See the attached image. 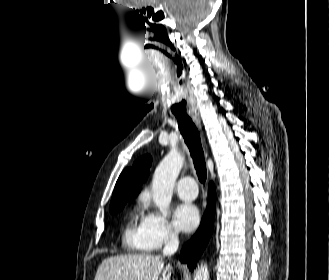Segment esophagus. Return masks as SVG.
Segmentation results:
<instances>
[{
  "label": "esophagus",
  "mask_w": 329,
  "mask_h": 280,
  "mask_svg": "<svg viewBox=\"0 0 329 280\" xmlns=\"http://www.w3.org/2000/svg\"><path fill=\"white\" fill-rule=\"evenodd\" d=\"M190 116L192 118V120L194 121V123L201 128V120H200V116L199 113L197 111H193L190 113Z\"/></svg>",
  "instance_id": "esophagus-1"
}]
</instances>
